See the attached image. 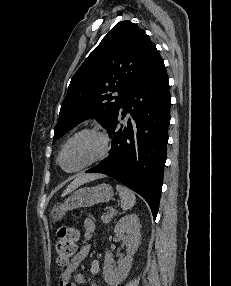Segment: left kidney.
I'll return each instance as SVG.
<instances>
[{
  "instance_id": "left-kidney-1",
  "label": "left kidney",
  "mask_w": 231,
  "mask_h": 286,
  "mask_svg": "<svg viewBox=\"0 0 231 286\" xmlns=\"http://www.w3.org/2000/svg\"><path fill=\"white\" fill-rule=\"evenodd\" d=\"M141 224L138 215L131 213L122 217L114 228L115 236L126 245L127 255L119 259L115 266L112 255L106 252L103 267V276L109 286H118L128 276L132 267L133 255L137 251L140 241Z\"/></svg>"
}]
</instances>
